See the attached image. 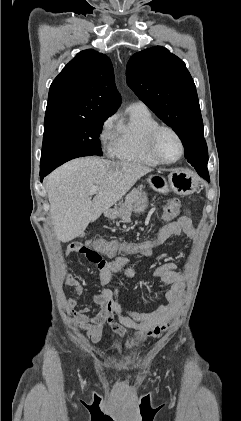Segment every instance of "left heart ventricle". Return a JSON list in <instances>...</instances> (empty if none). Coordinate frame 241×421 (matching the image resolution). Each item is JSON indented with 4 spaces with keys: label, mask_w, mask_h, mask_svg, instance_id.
Listing matches in <instances>:
<instances>
[{
    "label": "left heart ventricle",
    "mask_w": 241,
    "mask_h": 421,
    "mask_svg": "<svg viewBox=\"0 0 241 421\" xmlns=\"http://www.w3.org/2000/svg\"><path fill=\"white\" fill-rule=\"evenodd\" d=\"M157 150L164 160H174L180 153V145L176 137L168 132L160 133L157 140Z\"/></svg>",
    "instance_id": "b2bd125f"
}]
</instances>
